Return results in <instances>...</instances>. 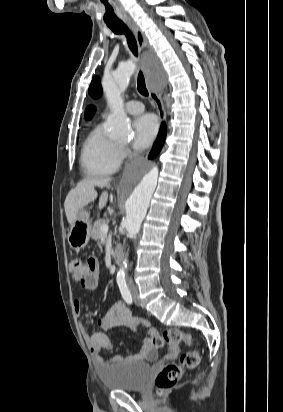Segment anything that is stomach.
<instances>
[{
    "instance_id": "0dacf381",
    "label": "stomach",
    "mask_w": 283,
    "mask_h": 412,
    "mask_svg": "<svg viewBox=\"0 0 283 412\" xmlns=\"http://www.w3.org/2000/svg\"><path fill=\"white\" fill-rule=\"evenodd\" d=\"M91 235L90 213L86 209H81L77 218L70 228L68 243L71 248L80 250L84 248Z\"/></svg>"
}]
</instances>
